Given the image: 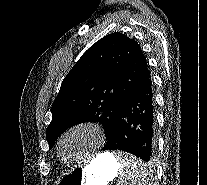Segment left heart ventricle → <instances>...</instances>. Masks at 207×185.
<instances>
[{
	"mask_svg": "<svg viewBox=\"0 0 207 185\" xmlns=\"http://www.w3.org/2000/svg\"><path fill=\"white\" fill-rule=\"evenodd\" d=\"M98 145L95 136L86 129L75 130L70 133L62 144V154L67 160L82 157Z\"/></svg>",
	"mask_w": 207,
	"mask_h": 185,
	"instance_id": "obj_1",
	"label": "left heart ventricle"
}]
</instances>
